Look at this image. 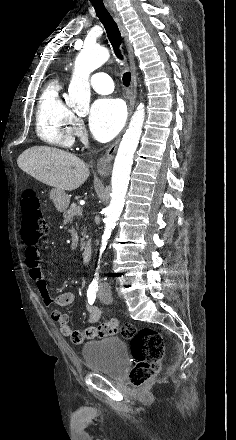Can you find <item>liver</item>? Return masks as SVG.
Listing matches in <instances>:
<instances>
[{
    "mask_svg": "<svg viewBox=\"0 0 236 440\" xmlns=\"http://www.w3.org/2000/svg\"><path fill=\"white\" fill-rule=\"evenodd\" d=\"M19 168L36 180L58 190L79 188L89 176V166L77 156L48 146L25 150L17 159Z\"/></svg>",
    "mask_w": 236,
    "mask_h": 440,
    "instance_id": "6515ba94",
    "label": "liver"
}]
</instances>
